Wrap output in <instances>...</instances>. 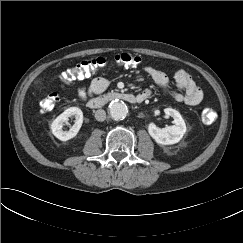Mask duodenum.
Instances as JSON below:
<instances>
[{
  "label": "duodenum",
  "mask_w": 243,
  "mask_h": 243,
  "mask_svg": "<svg viewBox=\"0 0 243 243\" xmlns=\"http://www.w3.org/2000/svg\"><path fill=\"white\" fill-rule=\"evenodd\" d=\"M144 97L141 95H134L126 92H111L104 96L91 98L86 102V105L90 109L102 108L105 104L113 100H123L128 103H141L144 101Z\"/></svg>",
  "instance_id": "1"
}]
</instances>
